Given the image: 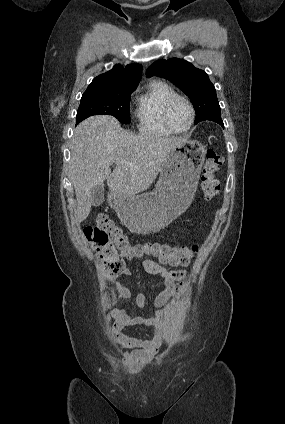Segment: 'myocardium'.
Instances as JSON below:
<instances>
[{"label": "myocardium", "instance_id": "myocardium-1", "mask_svg": "<svg viewBox=\"0 0 285 424\" xmlns=\"http://www.w3.org/2000/svg\"><path fill=\"white\" fill-rule=\"evenodd\" d=\"M178 101L184 102L188 106V108L190 110V113H191L190 123H189L188 127L186 129H184V130H178V129H176L171 124V122H170V110H171L172 106L176 102H178ZM195 118H196L195 108H194L192 102L188 98H186L184 96L176 95V96L172 97L166 103V105L164 107V110H163V121H164V124L174 134H186V133H188L192 129L193 125H194Z\"/></svg>", "mask_w": 285, "mask_h": 424}]
</instances>
